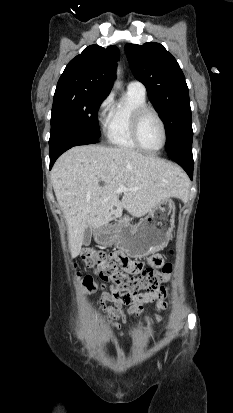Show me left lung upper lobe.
<instances>
[{
    "instance_id": "left-lung-upper-lobe-1",
    "label": "left lung upper lobe",
    "mask_w": 233,
    "mask_h": 413,
    "mask_svg": "<svg viewBox=\"0 0 233 413\" xmlns=\"http://www.w3.org/2000/svg\"><path fill=\"white\" fill-rule=\"evenodd\" d=\"M134 76L142 82L166 130L167 153L191 151L193 130L188 87L175 58L159 43L126 44Z\"/></svg>"
}]
</instances>
